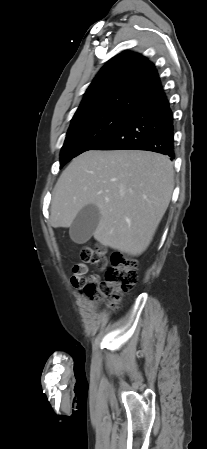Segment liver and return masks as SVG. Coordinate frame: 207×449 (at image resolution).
<instances>
[{"instance_id": "obj_1", "label": "liver", "mask_w": 207, "mask_h": 449, "mask_svg": "<svg viewBox=\"0 0 207 449\" xmlns=\"http://www.w3.org/2000/svg\"><path fill=\"white\" fill-rule=\"evenodd\" d=\"M174 188L169 157L149 151H87L60 175L53 191L50 224L68 228L92 204L100 211L93 232L104 246L131 256L151 243Z\"/></svg>"}]
</instances>
